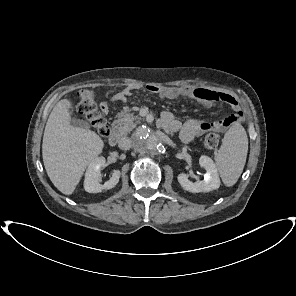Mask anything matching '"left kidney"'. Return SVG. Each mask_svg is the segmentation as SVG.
Returning <instances> with one entry per match:
<instances>
[{"instance_id": "left-kidney-1", "label": "left kidney", "mask_w": 296, "mask_h": 296, "mask_svg": "<svg viewBox=\"0 0 296 296\" xmlns=\"http://www.w3.org/2000/svg\"><path fill=\"white\" fill-rule=\"evenodd\" d=\"M199 164L206 170L204 180L193 183L189 181L185 173H180L177 179L182 188L192 193L209 192L218 189L220 187V179L213 160L208 156L202 155L199 159Z\"/></svg>"}]
</instances>
